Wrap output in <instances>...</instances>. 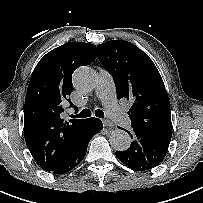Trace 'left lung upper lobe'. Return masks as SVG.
Wrapping results in <instances>:
<instances>
[{
  "instance_id": "1",
  "label": "left lung upper lobe",
  "mask_w": 203,
  "mask_h": 203,
  "mask_svg": "<svg viewBox=\"0 0 203 203\" xmlns=\"http://www.w3.org/2000/svg\"><path fill=\"white\" fill-rule=\"evenodd\" d=\"M97 48L98 59L114 79L118 99L132 102L128 112L132 128L171 140L169 98L153 61L128 41L112 40Z\"/></svg>"
}]
</instances>
